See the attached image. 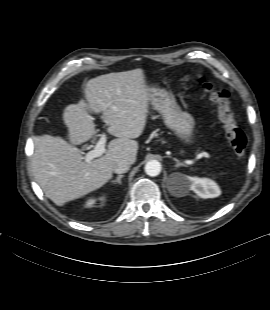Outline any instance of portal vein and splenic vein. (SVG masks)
Returning a JSON list of instances; mask_svg holds the SVG:
<instances>
[{"instance_id": "portal-vein-and-splenic-vein-1", "label": "portal vein and splenic vein", "mask_w": 270, "mask_h": 310, "mask_svg": "<svg viewBox=\"0 0 270 310\" xmlns=\"http://www.w3.org/2000/svg\"><path fill=\"white\" fill-rule=\"evenodd\" d=\"M105 144H106V135L102 134L99 141L96 143L93 150L89 151L86 156V162H90L94 158L100 157L105 152ZM201 157L210 158V155L207 152H200Z\"/></svg>"}]
</instances>
